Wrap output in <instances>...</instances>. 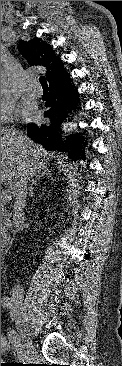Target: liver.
<instances>
[{"label":"liver","instance_id":"6515ba94","mask_svg":"<svg viewBox=\"0 0 122 366\" xmlns=\"http://www.w3.org/2000/svg\"><path fill=\"white\" fill-rule=\"evenodd\" d=\"M53 154L22 132L1 128V184L14 196L20 178L41 176Z\"/></svg>","mask_w":122,"mask_h":366}]
</instances>
